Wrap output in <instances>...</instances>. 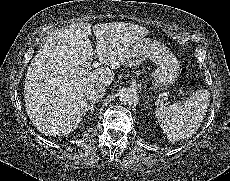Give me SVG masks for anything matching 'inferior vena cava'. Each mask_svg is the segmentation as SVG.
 Returning a JSON list of instances; mask_svg holds the SVG:
<instances>
[{
    "mask_svg": "<svg viewBox=\"0 0 230 181\" xmlns=\"http://www.w3.org/2000/svg\"><path fill=\"white\" fill-rule=\"evenodd\" d=\"M106 89L102 85H96L93 87H90L86 93L85 96L87 99L91 101H98L105 95Z\"/></svg>",
    "mask_w": 230,
    "mask_h": 181,
    "instance_id": "inferior-vena-cava-1",
    "label": "inferior vena cava"
}]
</instances>
